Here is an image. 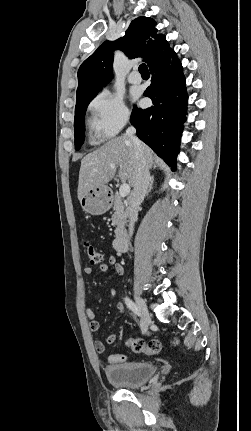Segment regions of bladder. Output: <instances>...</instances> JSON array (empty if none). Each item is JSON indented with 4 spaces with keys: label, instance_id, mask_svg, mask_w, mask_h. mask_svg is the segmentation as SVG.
Returning a JSON list of instances; mask_svg holds the SVG:
<instances>
[{
    "label": "bladder",
    "instance_id": "obj_1",
    "mask_svg": "<svg viewBox=\"0 0 251 431\" xmlns=\"http://www.w3.org/2000/svg\"><path fill=\"white\" fill-rule=\"evenodd\" d=\"M104 372L109 383L114 386L137 388L154 376L156 368L150 362L133 361L109 364Z\"/></svg>",
    "mask_w": 251,
    "mask_h": 431
}]
</instances>
